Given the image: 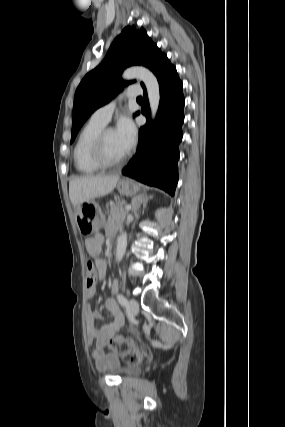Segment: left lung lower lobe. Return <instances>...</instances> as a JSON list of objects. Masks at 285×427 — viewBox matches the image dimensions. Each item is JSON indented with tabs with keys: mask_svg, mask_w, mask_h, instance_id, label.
<instances>
[{
	"mask_svg": "<svg viewBox=\"0 0 285 427\" xmlns=\"http://www.w3.org/2000/svg\"><path fill=\"white\" fill-rule=\"evenodd\" d=\"M153 73L160 87L156 121H151L143 86L145 102L141 112L146 116L147 123L139 130L138 152L122 170V174L159 187L173 196L178 182L179 143L183 136V84L167 56L157 64Z\"/></svg>",
	"mask_w": 285,
	"mask_h": 427,
	"instance_id": "1",
	"label": "left lung lower lobe"
}]
</instances>
